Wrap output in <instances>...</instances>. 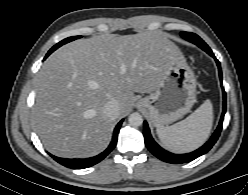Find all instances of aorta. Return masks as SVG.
<instances>
[{
	"label": "aorta",
	"instance_id": "762f6f07",
	"mask_svg": "<svg viewBox=\"0 0 248 195\" xmlns=\"http://www.w3.org/2000/svg\"><path fill=\"white\" fill-rule=\"evenodd\" d=\"M128 121H129L131 126L138 127V126L142 125L143 118H142V115L140 113L134 112V113L130 114Z\"/></svg>",
	"mask_w": 248,
	"mask_h": 195
}]
</instances>
